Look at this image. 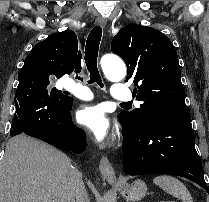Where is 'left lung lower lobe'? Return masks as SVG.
Returning a JSON list of instances; mask_svg holds the SVG:
<instances>
[{"label":"left lung lower lobe","mask_w":209,"mask_h":202,"mask_svg":"<svg viewBox=\"0 0 209 202\" xmlns=\"http://www.w3.org/2000/svg\"><path fill=\"white\" fill-rule=\"evenodd\" d=\"M121 125L125 174L177 175L197 183L209 193L195 149L191 117L152 113L139 127Z\"/></svg>","instance_id":"left-lung-lower-lobe-1"}]
</instances>
